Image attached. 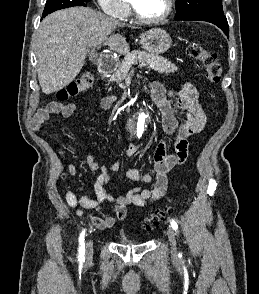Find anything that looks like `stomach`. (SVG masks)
I'll return each instance as SVG.
<instances>
[{
    "instance_id": "stomach-1",
    "label": "stomach",
    "mask_w": 259,
    "mask_h": 294,
    "mask_svg": "<svg viewBox=\"0 0 259 294\" xmlns=\"http://www.w3.org/2000/svg\"><path fill=\"white\" fill-rule=\"evenodd\" d=\"M140 44L150 54L165 53L172 46L170 35L161 28H153L140 36Z\"/></svg>"
}]
</instances>
